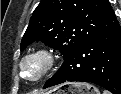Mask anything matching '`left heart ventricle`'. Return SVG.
<instances>
[{"mask_svg":"<svg viewBox=\"0 0 121 94\" xmlns=\"http://www.w3.org/2000/svg\"><path fill=\"white\" fill-rule=\"evenodd\" d=\"M41 69V64L39 61H32L26 65V72L29 77H35Z\"/></svg>","mask_w":121,"mask_h":94,"instance_id":"b2bd125f","label":"left heart ventricle"}]
</instances>
